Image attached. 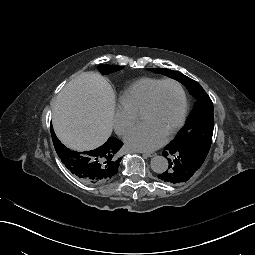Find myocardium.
I'll use <instances>...</instances> for the list:
<instances>
[{
  "label": "myocardium",
  "mask_w": 255,
  "mask_h": 255,
  "mask_svg": "<svg viewBox=\"0 0 255 255\" xmlns=\"http://www.w3.org/2000/svg\"><path fill=\"white\" fill-rule=\"evenodd\" d=\"M174 84L175 86L178 87L180 93H181V98H182V105H181V111H180V115L178 118V121L176 123V125L174 126L173 130L168 134V136L164 139V142H169L171 141L175 135L178 133L179 129L182 127L183 123H184V119H185V115H186V110H187V97H186V92L182 86V84L180 82H178L175 79H163L161 80L158 84H156L152 90L150 91L149 97L147 99V101L145 102L142 111H141V116L142 114L146 113L148 110L151 109V107L153 106L154 103V99L156 96L157 91L159 90V88L164 85V84Z\"/></svg>",
  "instance_id": "obj_1"
}]
</instances>
